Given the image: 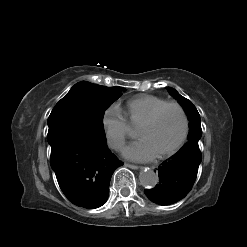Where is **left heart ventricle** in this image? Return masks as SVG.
I'll return each instance as SVG.
<instances>
[{
  "label": "left heart ventricle",
  "mask_w": 247,
  "mask_h": 247,
  "mask_svg": "<svg viewBox=\"0 0 247 247\" xmlns=\"http://www.w3.org/2000/svg\"><path fill=\"white\" fill-rule=\"evenodd\" d=\"M182 118L175 108L164 110L154 124L139 126L138 138L145 139L160 154L172 147L182 132Z\"/></svg>",
  "instance_id": "b2bd125f"
}]
</instances>
